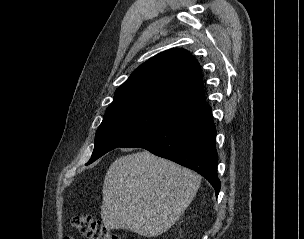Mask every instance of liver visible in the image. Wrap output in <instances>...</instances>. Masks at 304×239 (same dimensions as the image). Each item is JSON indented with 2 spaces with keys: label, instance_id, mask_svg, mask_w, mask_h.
I'll return each mask as SVG.
<instances>
[{
  "label": "liver",
  "instance_id": "obj_1",
  "mask_svg": "<svg viewBox=\"0 0 304 239\" xmlns=\"http://www.w3.org/2000/svg\"><path fill=\"white\" fill-rule=\"evenodd\" d=\"M200 183L197 173L148 151L120 156L105 175L102 221L109 229L159 236L177 222Z\"/></svg>",
  "mask_w": 304,
  "mask_h": 239
}]
</instances>
